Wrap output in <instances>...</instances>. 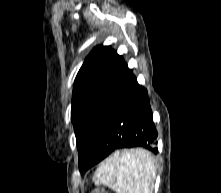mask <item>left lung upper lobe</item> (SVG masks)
Returning <instances> with one entry per match:
<instances>
[{
    "label": "left lung upper lobe",
    "instance_id": "5c2ea615",
    "mask_svg": "<svg viewBox=\"0 0 221 193\" xmlns=\"http://www.w3.org/2000/svg\"><path fill=\"white\" fill-rule=\"evenodd\" d=\"M128 70L123 57L115 50L109 46H98L86 57L76 76L71 120L80 171L107 131L111 108Z\"/></svg>",
    "mask_w": 221,
    "mask_h": 193
}]
</instances>
